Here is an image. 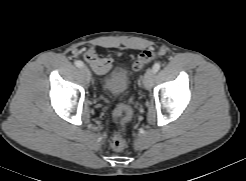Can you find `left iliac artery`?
<instances>
[{
	"label": "left iliac artery",
	"mask_w": 246,
	"mask_h": 181,
	"mask_svg": "<svg viewBox=\"0 0 246 181\" xmlns=\"http://www.w3.org/2000/svg\"><path fill=\"white\" fill-rule=\"evenodd\" d=\"M161 68V64L159 62H156L154 65H153V70L155 72L159 71Z\"/></svg>",
	"instance_id": "44dca946"
}]
</instances>
